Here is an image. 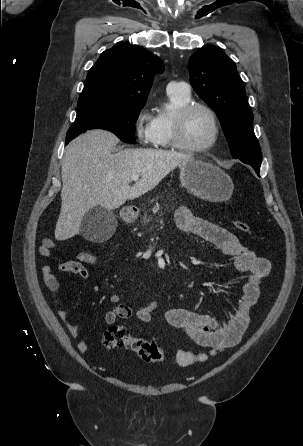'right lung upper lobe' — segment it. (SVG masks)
<instances>
[{
    "mask_svg": "<svg viewBox=\"0 0 303 446\" xmlns=\"http://www.w3.org/2000/svg\"><path fill=\"white\" fill-rule=\"evenodd\" d=\"M163 70L161 59L142 47L114 46L105 50L89 70L77 106L94 103L144 106L154 74Z\"/></svg>",
    "mask_w": 303,
    "mask_h": 446,
    "instance_id": "1",
    "label": "right lung upper lobe"
}]
</instances>
